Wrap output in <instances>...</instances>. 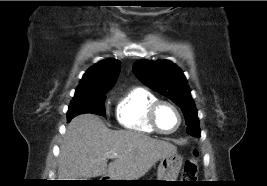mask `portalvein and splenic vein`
<instances>
[{
  "instance_id": "18ae733b",
  "label": "portal vein and splenic vein",
  "mask_w": 267,
  "mask_h": 186,
  "mask_svg": "<svg viewBox=\"0 0 267 186\" xmlns=\"http://www.w3.org/2000/svg\"><path fill=\"white\" fill-rule=\"evenodd\" d=\"M106 156H107L108 158L113 159V158H116V157H117V154H116V153H106Z\"/></svg>"
}]
</instances>
